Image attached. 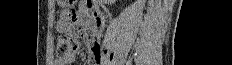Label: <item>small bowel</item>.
Returning a JSON list of instances; mask_svg holds the SVG:
<instances>
[{"mask_svg": "<svg viewBox=\"0 0 232 65\" xmlns=\"http://www.w3.org/2000/svg\"><path fill=\"white\" fill-rule=\"evenodd\" d=\"M60 21L58 26L59 34L68 37L69 34H75L77 38H87L89 47L88 65H99L101 62V46L95 40L97 29L104 23V18L95 6H89L80 12H60ZM78 21L83 25L87 24L88 28L81 29L77 26ZM76 58V52L73 51L69 55L58 58L55 65L71 64Z\"/></svg>", "mask_w": 232, "mask_h": 65, "instance_id": "small-bowel-1", "label": "small bowel"}]
</instances>
